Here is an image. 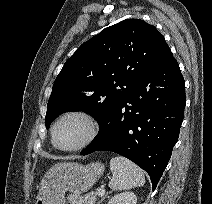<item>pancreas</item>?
<instances>
[{"label":"pancreas","mask_w":212,"mask_h":204,"mask_svg":"<svg viewBox=\"0 0 212 204\" xmlns=\"http://www.w3.org/2000/svg\"><path fill=\"white\" fill-rule=\"evenodd\" d=\"M70 204H95L97 201V192H90L84 196L71 194L68 196Z\"/></svg>","instance_id":"pancreas-1"}]
</instances>
